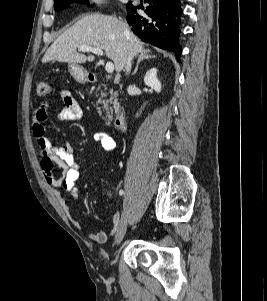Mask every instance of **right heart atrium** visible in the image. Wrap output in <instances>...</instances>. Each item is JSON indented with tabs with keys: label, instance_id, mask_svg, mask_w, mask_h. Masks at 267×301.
<instances>
[{
	"label": "right heart atrium",
	"instance_id": "obj_1",
	"mask_svg": "<svg viewBox=\"0 0 267 301\" xmlns=\"http://www.w3.org/2000/svg\"><path fill=\"white\" fill-rule=\"evenodd\" d=\"M89 1L94 5H100L101 3L104 2V0H89Z\"/></svg>",
	"mask_w": 267,
	"mask_h": 301
}]
</instances>
